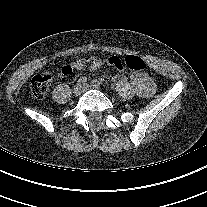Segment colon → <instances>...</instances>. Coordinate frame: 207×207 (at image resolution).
Returning a JSON list of instances; mask_svg holds the SVG:
<instances>
[{"label": "colon", "mask_w": 207, "mask_h": 207, "mask_svg": "<svg viewBox=\"0 0 207 207\" xmlns=\"http://www.w3.org/2000/svg\"><path fill=\"white\" fill-rule=\"evenodd\" d=\"M91 59H87L90 61ZM124 64L126 67L133 72H142L146 69V63L143 59L138 56L128 55L124 59ZM65 72H71L72 67L70 65H65L61 69ZM53 80V74L51 71H44L35 75L30 82V90L35 98L42 99L46 96L51 82Z\"/></svg>", "instance_id": "obj_1"}]
</instances>
